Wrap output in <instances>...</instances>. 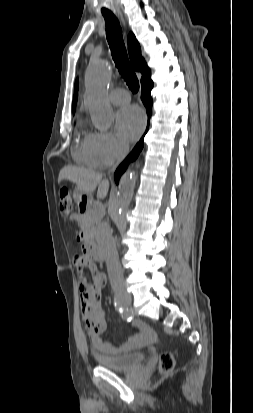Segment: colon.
Segmentation results:
<instances>
[{"instance_id": "5ec220e1", "label": "colon", "mask_w": 253, "mask_h": 413, "mask_svg": "<svg viewBox=\"0 0 253 413\" xmlns=\"http://www.w3.org/2000/svg\"><path fill=\"white\" fill-rule=\"evenodd\" d=\"M73 210L72 198L68 190L60 191V211L63 215H69ZM174 368V357L172 353L165 352L160 356L159 370L162 374H167Z\"/></svg>"}]
</instances>
